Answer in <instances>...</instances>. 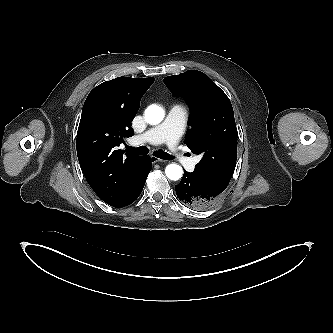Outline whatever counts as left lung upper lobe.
<instances>
[{"instance_id":"obj_1","label":"left lung upper lobe","mask_w":333,"mask_h":333,"mask_svg":"<svg viewBox=\"0 0 333 333\" xmlns=\"http://www.w3.org/2000/svg\"><path fill=\"white\" fill-rule=\"evenodd\" d=\"M176 96L185 98L192 109L185 144L202 154L194 174L223 192L233 175L237 159V128L226 94L204 73L192 70L164 78Z\"/></svg>"}]
</instances>
